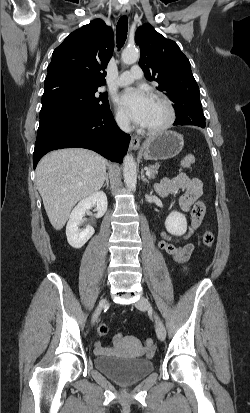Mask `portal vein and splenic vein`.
I'll return each instance as SVG.
<instances>
[{"instance_id":"portal-vein-and-splenic-vein-1","label":"portal vein and splenic vein","mask_w":250,"mask_h":413,"mask_svg":"<svg viewBox=\"0 0 250 413\" xmlns=\"http://www.w3.org/2000/svg\"><path fill=\"white\" fill-rule=\"evenodd\" d=\"M151 174V172L148 170V169H146V175H150Z\"/></svg>"}]
</instances>
